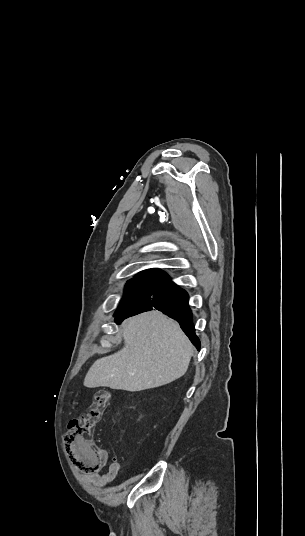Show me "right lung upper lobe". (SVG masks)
<instances>
[{
    "instance_id": "right-lung-upper-lobe-1",
    "label": "right lung upper lobe",
    "mask_w": 305,
    "mask_h": 536,
    "mask_svg": "<svg viewBox=\"0 0 305 536\" xmlns=\"http://www.w3.org/2000/svg\"><path fill=\"white\" fill-rule=\"evenodd\" d=\"M168 275L159 269H149L138 273L135 278H162L165 279Z\"/></svg>"
}]
</instances>
